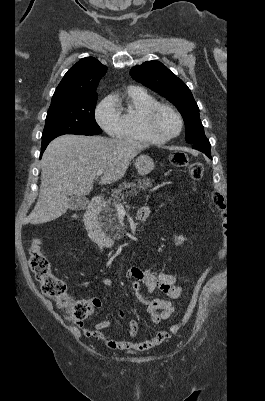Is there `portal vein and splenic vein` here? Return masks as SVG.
Segmentation results:
<instances>
[{
  "mask_svg": "<svg viewBox=\"0 0 265 401\" xmlns=\"http://www.w3.org/2000/svg\"><path fill=\"white\" fill-rule=\"evenodd\" d=\"M103 172V168H100V170H97V176H100V174H103ZM117 209H124V207H122V205H117Z\"/></svg>",
  "mask_w": 265,
  "mask_h": 401,
  "instance_id": "portal-vein-and-splenic-vein-1",
  "label": "portal vein and splenic vein"
}]
</instances>
